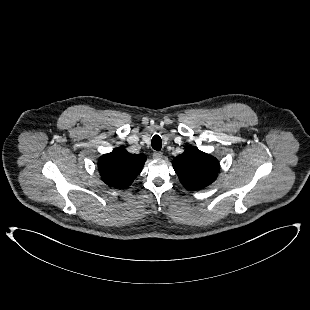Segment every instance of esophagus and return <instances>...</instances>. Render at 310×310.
<instances>
[{"label": "esophagus", "mask_w": 310, "mask_h": 310, "mask_svg": "<svg viewBox=\"0 0 310 310\" xmlns=\"http://www.w3.org/2000/svg\"><path fill=\"white\" fill-rule=\"evenodd\" d=\"M153 158L154 159H162L163 158V153L162 152H154L153 153Z\"/></svg>", "instance_id": "34e87169"}]
</instances>
